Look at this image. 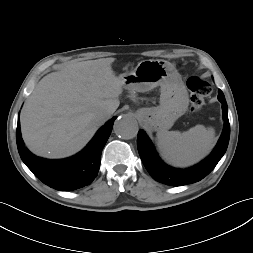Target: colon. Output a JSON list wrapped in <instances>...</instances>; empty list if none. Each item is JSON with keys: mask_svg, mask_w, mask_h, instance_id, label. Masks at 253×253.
<instances>
[{"mask_svg": "<svg viewBox=\"0 0 253 253\" xmlns=\"http://www.w3.org/2000/svg\"><path fill=\"white\" fill-rule=\"evenodd\" d=\"M187 86L191 92L192 111L198 112L203 108L206 97L211 93V86L206 80L195 76L188 79Z\"/></svg>", "mask_w": 253, "mask_h": 253, "instance_id": "obj_1", "label": "colon"}]
</instances>
